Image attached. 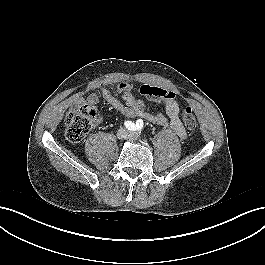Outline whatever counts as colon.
<instances>
[{
	"instance_id": "5ec220e1",
	"label": "colon",
	"mask_w": 265,
	"mask_h": 265,
	"mask_svg": "<svg viewBox=\"0 0 265 265\" xmlns=\"http://www.w3.org/2000/svg\"><path fill=\"white\" fill-rule=\"evenodd\" d=\"M139 92L146 98L158 101L173 96L167 90L151 85H142ZM96 120L97 109L93 104H85L70 111L65 118L67 138L74 143L80 142L93 129ZM182 121L189 130L196 127V118L190 106L183 108Z\"/></svg>"
}]
</instances>
